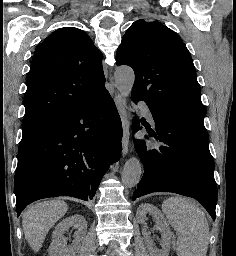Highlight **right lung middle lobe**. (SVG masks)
Returning a JSON list of instances; mask_svg holds the SVG:
<instances>
[{
  "label": "right lung middle lobe",
  "instance_id": "1",
  "mask_svg": "<svg viewBox=\"0 0 236 256\" xmlns=\"http://www.w3.org/2000/svg\"><path fill=\"white\" fill-rule=\"evenodd\" d=\"M51 122H52V120H44V119L23 121V125H22L23 136L22 137H26V136L40 130L41 128L47 126Z\"/></svg>",
  "mask_w": 236,
  "mask_h": 256
}]
</instances>
